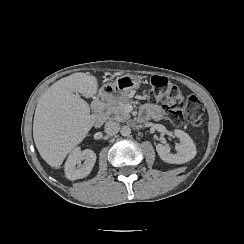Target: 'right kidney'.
<instances>
[{
	"mask_svg": "<svg viewBox=\"0 0 244 244\" xmlns=\"http://www.w3.org/2000/svg\"><path fill=\"white\" fill-rule=\"evenodd\" d=\"M83 161V164H81ZM96 154L86 149L79 151L74 150L65 164V173L69 180H77L88 176L95 164Z\"/></svg>",
	"mask_w": 244,
	"mask_h": 244,
	"instance_id": "1",
	"label": "right kidney"
}]
</instances>
